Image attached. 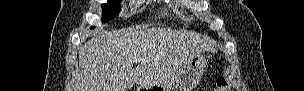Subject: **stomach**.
<instances>
[{"label":"stomach","mask_w":304,"mask_h":91,"mask_svg":"<svg viewBox=\"0 0 304 91\" xmlns=\"http://www.w3.org/2000/svg\"><path fill=\"white\" fill-rule=\"evenodd\" d=\"M207 59L201 54H195L173 78L164 84H158L152 87H140L142 90L159 91H192L199 83L202 75L206 71Z\"/></svg>","instance_id":"obj_1"}]
</instances>
